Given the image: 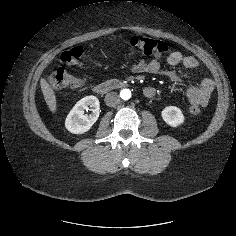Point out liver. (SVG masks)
<instances>
[{
    "instance_id": "liver-1",
    "label": "liver",
    "mask_w": 236,
    "mask_h": 236,
    "mask_svg": "<svg viewBox=\"0 0 236 236\" xmlns=\"http://www.w3.org/2000/svg\"><path fill=\"white\" fill-rule=\"evenodd\" d=\"M40 86L42 89V93L44 95V99H45L50 111L55 113L57 110V100H56L54 90L51 88V86L48 84V82L45 78H41Z\"/></svg>"
}]
</instances>
